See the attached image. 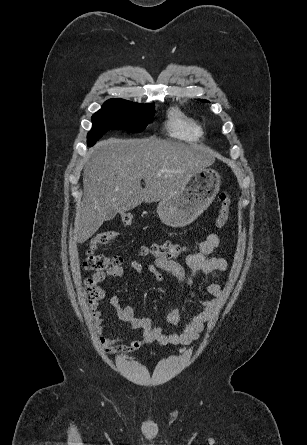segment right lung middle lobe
Returning <instances> with one entry per match:
<instances>
[{"mask_svg":"<svg viewBox=\"0 0 307 445\" xmlns=\"http://www.w3.org/2000/svg\"><path fill=\"white\" fill-rule=\"evenodd\" d=\"M154 105H143L123 99H109L92 116V129L87 135L88 146H93L107 131L121 129L133 133L143 131L154 115Z\"/></svg>","mask_w":307,"mask_h":445,"instance_id":"right-lung-middle-lobe-1","label":"right lung middle lobe"}]
</instances>
